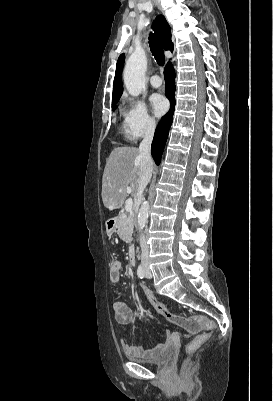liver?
<instances>
[{
	"instance_id": "liver-1",
	"label": "liver",
	"mask_w": 273,
	"mask_h": 401,
	"mask_svg": "<svg viewBox=\"0 0 273 401\" xmlns=\"http://www.w3.org/2000/svg\"><path fill=\"white\" fill-rule=\"evenodd\" d=\"M139 154V148L135 146L113 148L102 178V201L109 211L122 207L127 186L132 188V196H136L140 178Z\"/></svg>"
}]
</instances>
